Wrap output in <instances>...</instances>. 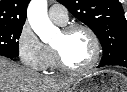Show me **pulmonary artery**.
Here are the masks:
<instances>
[{
	"mask_svg": "<svg viewBox=\"0 0 127 92\" xmlns=\"http://www.w3.org/2000/svg\"><path fill=\"white\" fill-rule=\"evenodd\" d=\"M50 18L61 25H64L68 20L67 9L61 4H54L48 9Z\"/></svg>",
	"mask_w": 127,
	"mask_h": 92,
	"instance_id": "e3ab8cb5",
	"label": "pulmonary artery"
}]
</instances>
